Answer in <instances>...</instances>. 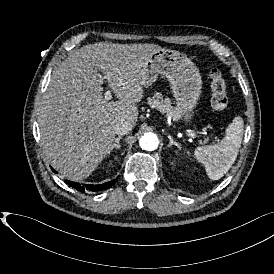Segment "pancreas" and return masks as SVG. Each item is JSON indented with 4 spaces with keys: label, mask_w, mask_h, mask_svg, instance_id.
I'll return each mask as SVG.
<instances>
[{
    "label": "pancreas",
    "mask_w": 274,
    "mask_h": 274,
    "mask_svg": "<svg viewBox=\"0 0 274 274\" xmlns=\"http://www.w3.org/2000/svg\"><path fill=\"white\" fill-rule=\"evenodd\" d=\"M147 102L152 108H156L161 113H165L167 117H171L174 121H178L182 117V109L172 106L170 98H163V95L156 92L153 97H148Z\"/></svg>",
    "instance_id": "cf45deb5"
}]
</instances>
